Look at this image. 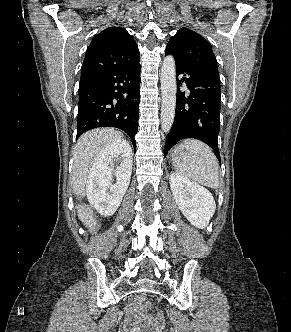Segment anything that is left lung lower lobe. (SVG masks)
I'll return each instance as SVG.
<instances>
[{"label": "left lung lower lobe", "mask_w": 291, "mask_h": 332, "mask_svg": "<svg viewBox=\"0 0 291 332\" xmlns=\"http://www.w3.org/2000/svg\"><path fill=\"white\" fill-rule=\"evenodd\" d=\"M166 54H172L166 49ZM177 98L175 118L167 136L164 156L180 140L196 138L210 146L220 161L218 134L220 131V78L212 64L187 65L175 58ZM184 75L186 77H181ZM185 84L188 93L179 88Z\"/></svg>", "instance_id": "left-lung-lower-lobe-1"}]
</instances>
